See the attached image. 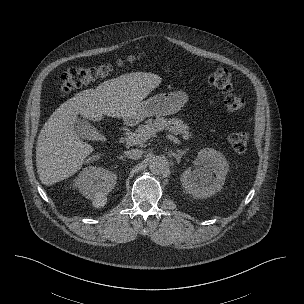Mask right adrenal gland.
Returning <instances> with one entry per match:
<instances>
[{
  "instance_id": "2a0ac1e0",
  "label": "right adrenal gland",
  "mask_w": 304,
  "mask_h": 304,
  "mask_svg": "<svg viewBox=\"0 0 304 304\" xmlns=\"http://www.w3.org/2000/svg\"><path fill=\"white\" fill-rule=\"evenodd\" d=\"M119 160H122V161H126V159H124V157L123 156H120L119 158H118Z\"/></svg>"
}]
</instances>
